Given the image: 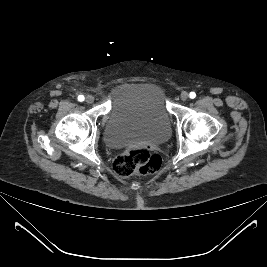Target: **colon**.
I'll return each instance as SVG.
<instances>
[{
	"instance_id": "1",
	"label": "colon",
	"mask_w": 267,
	"mask_h": 267,
	"mask_svg": "<svg viewBox=\"0 0 267 267\" xmlns=\"http://www.w3.org/2000/svg\"><path fill=\"white\" fill-rule=\"evenodd\" d=\"M162 159L147 148H133L119 155L113 162L116 175L127 178L134 175L154 174L159 171Z\"/></svg>"
}]
</instances>
